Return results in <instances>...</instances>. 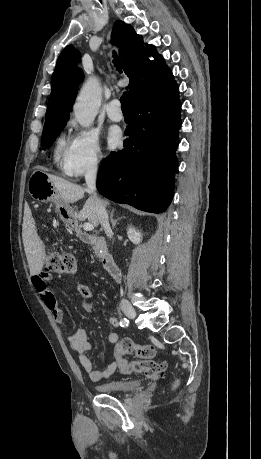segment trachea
<instances>
[{"label": "trachea", "instance_id": "obj_1", "mask_svg": "<svg viewBox=\"0 0 261 459\" xmlns=\"http://www.w3.org/2000/svg\"><path fill=\"white\" fill-rule=\"evenodd\" d=\"M114 60H113V63L114 65L117 67V70L119 72H121V66H120V61H119V58L116 54V52L114 51ZM120 102H121V105H122V110H125V111H130V104H129V94L128 92H124L122 97L120 98Z\"/></svg>", "mask_w": 261, "mask_h": 459}]
</instances>
